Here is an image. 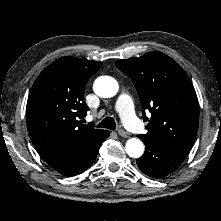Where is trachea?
<instances>
[{"mask_svg":"<svg viewBox=\"0 0 221 221\" xmlns=\"http://www.w3.org/2000/svg\"><path fill=\"white\" fill-rule=\"evenodd\" d=\"M97 127L100 128H107L110 130H115L116 129V123L114 121V118L112 117H106L105 119H103L98 125Z\"/></svg>","mask_w":221,"mask_h":221,"instance_id":"obj_1","label":"trachea"}]
</instances>
